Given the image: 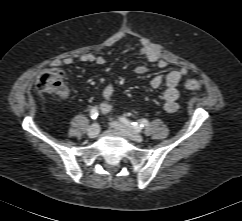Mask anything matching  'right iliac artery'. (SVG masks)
<instances>
[{
  "label": "right iliac artery",
  "mask_w": 242,
  "mask_h": 221,
  "mask_svg": "<svg viewBox=\"0 0 242 221\" xmlns=\"http://www.w3.org/2000/svg\"><path fill=\"white\" fill-rule=\"evenodd\" d=\"M99 115L98 109L96 107H93L90 111V117L95 120L97 116Z\"/></svg>",
  "instance_id": "right-iliac-artery-1"
}]
</instances>
